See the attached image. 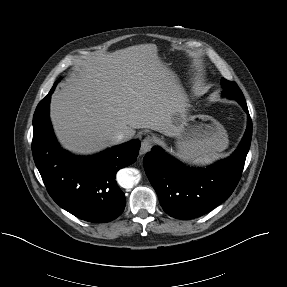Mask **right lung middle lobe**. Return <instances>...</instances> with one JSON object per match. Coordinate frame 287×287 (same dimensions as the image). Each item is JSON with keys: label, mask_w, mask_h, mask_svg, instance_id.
Masks as SVG:
<instances>
[{"label": "right lung middle lobe", "mask_w": 287, "mask_h": 287, "mask_svg": "<svg viewBox=\"0 0 287 287\" xmlns=\"http://www.w3.org/2000/svg\"><path fill=\"white\" fill-rule=\"evenodd\" d=\"M60 81V79L57 81V82H59ZM57 82L56 83H54V85L53 86H56L57 85Z\"/></svg>", "instance_id": "right-lung-middle-lobe-1"}]
</instances>
